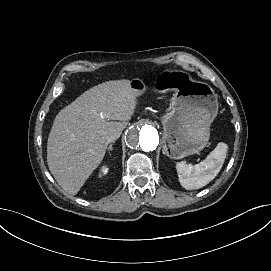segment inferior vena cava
<instances>
[{
	"label": "inferior vena cava",
	"instance_id": "inferior-vena-cava-1",
	"mask_svg": "<svg viewBox=\"0 0 271 271\" xmlns=\"http://www.w3.org/2000/svg\"><path fill=\"white\" fill-rule=\"evenodd\" d=\"M120 134L121 133H119V132L111 134L108 138V142L115 141L116 139H118L120 137Z\"/></svg>",
	"mask_w": 271,
	"mask_h": 271
}]
</instances>
